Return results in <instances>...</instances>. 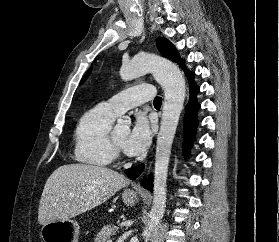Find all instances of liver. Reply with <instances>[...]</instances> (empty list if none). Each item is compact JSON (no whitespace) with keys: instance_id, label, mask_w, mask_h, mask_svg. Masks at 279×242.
<instances>
[{"instance_id":"1","label":"liver","mask_w":279,"mask_h":242,"mask_svg":"<svg viewBox=\"0 0 279 242\" xmlns=\"http://www.w3.org/2000/svg\"><path fill=\"white\" fill-rule=\"evenodd\" d=\"M130 180L105 167L69 164L57 168L47 179L38 209L40 225L69 220L108 200Z\"/></svg>"}]
</instances>
